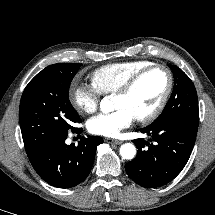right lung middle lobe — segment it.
Returning a JSON list of instances; mask_svg holds the SVG:
<instances>
[{"label": "right lung middle lobe", "mask_w": 215, "mask_h": 215, "mask_svg": "<svg viewBox=\"0 0 215 215\" xmlns=\"http://www.w3.org/2000/svg\"><path fill=\"white\" fill-rule=\"evenodd\" d=\"M81 64L57 63L39 72L26 86L19 121L27 155L74 130L80 117L69 101L71 81Z\"/></svg>", "instance_id": "right-lung-middle-lobe-1"}]
</instances>
